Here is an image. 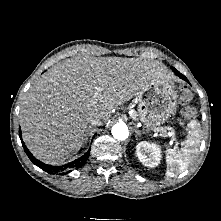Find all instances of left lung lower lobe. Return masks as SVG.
<instances>
[{
	"mask_svg": "<svg viewBox=\"0 0 221 221\" xmlns=\"http://www.w3.org/2000/svg\"><path fill=\"white\" fill-rule=\"evenodd\" d=\"M174 71V70H173ZM181 79L188 81L185 76H183L180 72L174 71Z\"/></svg>",
	"mask_w": 221,
	"mask_h": 221,
	"instance_id": "1",
	"label": "left lung lower lobe"
}]
</instances>
